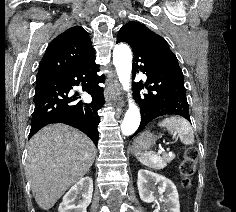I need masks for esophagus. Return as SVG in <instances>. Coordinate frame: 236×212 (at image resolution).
Wrapping results in <instances>:
<instances>
[{"label": "esophagus", "instance_id": "34e87169", "mask_svg": "<svg viewBox=\"0 0 236 212\" xmlns=\"http://www.w3.org/2000/svg\"><path fill=\"white\" fill-rule=\"evenodd\" d=\"M107 93L116 101L120 107L123 106V100L121 97V88L119 82L114 79L113 82L108 86Z\"/></svg>", "mask_w": 236, "mask_h": 212}]
</instances>
